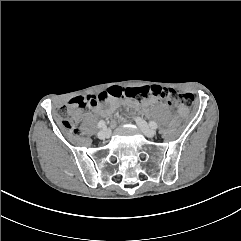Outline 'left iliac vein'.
<instances>
[{
	"instance_id": "4c4485c4",
	"label": "left iliac vein",
	"mask_w": 241,
	"mask_h": 241,
	"mask_svg": "<svg viewBox=\"0 0 241 241\" xmlns=\"http://www.w3.org/2000/svg\"><path fill=\"white\" fill-rule=\"evenodd\" d=\"M135 121L145 136L150 138L155 136V130L152 129L142 118L136 117Z\"/></svg>"
}]
</instances>
